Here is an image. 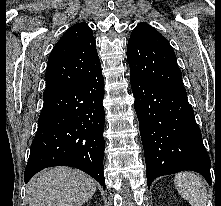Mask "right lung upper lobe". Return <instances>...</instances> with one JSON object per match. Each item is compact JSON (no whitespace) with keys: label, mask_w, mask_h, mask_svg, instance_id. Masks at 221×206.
Listing matches in <instances>:
<instances>
[{"label":"right lung upper lobe","mask_w":221,"mask_h":206,"mask_svg":"<svg viewBox=\"0 0 221 206\" xmlns=\"http://www.w3.org/2000/svg\"><path fill=\"white\" fill-rule=\"evenodd\" d=\"M101 69L92 30L85 23L69 28L48 59L43 97L78 83Z\"/></svg>","instance_id":"right-lung-upper-lobe-1"}]
</instances>
